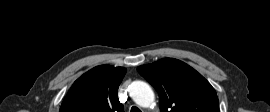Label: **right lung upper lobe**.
<instances>
[{
  "instance_id": "cb5924a9",
  "label": "right lung upper lobe",
  "mask_w": 270,
  "mask_h": 112,
  "mask_svg": "<svg viewBox=\"0 0 270 112\" xmlns=\"http://www.w3.org/2000/svg\"><path fill=\"white\" fill-rule=\"evenodd\" d=\"M125 73L110 65L91 69L74 82L60 112H124L117 91Z\"/></svg>"
}]
</instances>
